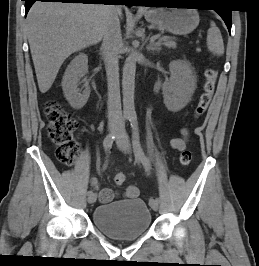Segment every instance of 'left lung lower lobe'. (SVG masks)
<instances>
[{"label": "left lung lower lobe", "mask_w": 259, "mask_h": 266, "mask_svg": "<svg viewBox=\"0 0 259 266\" xmlns=\"http://www.w3.org/2000/svg\"><path fill=\"white\" fill-rule=\"evenodd\" d=\"M191 1L192 0H145V3L146 4H152V5L165 4L168 6H172L174 3L185 4V3H192ZM215 11H217L220 14L222 19L226 23L229 32H231V10H229V9H215Z\"/></svg>", "instance_id": "1"}]
</instances>
